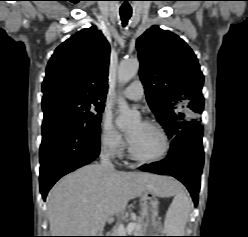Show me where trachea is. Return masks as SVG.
I'll list each match as a JSON object with an SVG mask.
<instances>
[{
	"label": "trachea",
	"mask_w": 248,
	"mask_h": 237,
	"mask_svg": "<svg viewBox=\"0 0 248 237\" xmlns=\"http://www.w3.org/2000/svg\"><path fill=\"white\" fill-rule=\"evenodd\" d=\"M131 15H132L131 9H120V16H121V21H122L123 26L127 25L128 20L130 19Z\"/></svg>",
	"instance_id": "1"
}]
</instances>
